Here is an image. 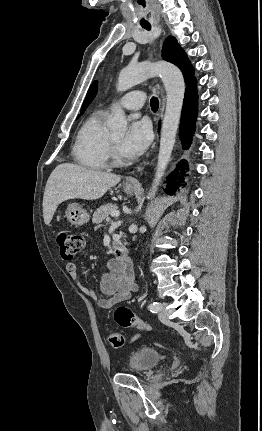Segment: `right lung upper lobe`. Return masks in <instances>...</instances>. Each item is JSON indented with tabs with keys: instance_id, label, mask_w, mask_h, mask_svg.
Masks as SVG:
<instances>
[{
	"instance_id": "1",
	"label": "right lung upper lobe",
	"mask_w": 262,
	"mask_h": 431,
	"mask_svg": "<svg viewBox=\"0 0 262 431\" xmlns=\"http://www.w3.org/2000/svg\"><path fill=\"white\" fill-rule=\"evenodd\" d=\"M96 92H97V83L94 82L87 92L86 98H85L83 105H82V108H81V114L84 113L87 106L91 103V101L93 100V98L96 95Z\"/></svg>"
}]
</instances>
